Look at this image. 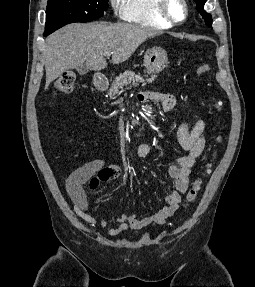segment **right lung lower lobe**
I'll use <instances>...</instances> for the list:
<instances>
[{"label":"right lung lower lobe","instance_id":"obj_1","mask_svg":"<svg viewBox=\"0 0 255 287\" xmlns=\"http://www.w3.org/2000/svg\"><path fill=\"white\" fill-rule=\"evenodd\" d=\"M49 34H51V33H44V36L47 37Z\"/></svg>","mask_w":255,"mask_h":287}]
</instances>
